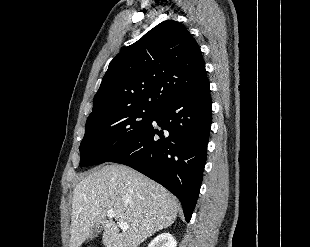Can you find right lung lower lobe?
I'll return each mask as SVG.
<instances>
[{
  "label": "right lung lower lobe",
  "instance_id": "right-lung-lower-lobe-1",
  "mask_svg": "<svg viewBox=\"0 0 310 247\" xmlns=\"http://www.w3.org/2000/svg\"><path fill=\"white\" fill-rule=\"evenodd\" d=\"M211 103L208 81L168 100L137 140L108 160L130 166L167 188L180 200L187 222L202 183Z\"/></svg>",
  "mask_w": 310,
  "mask_h": 247
}]
</instances>
